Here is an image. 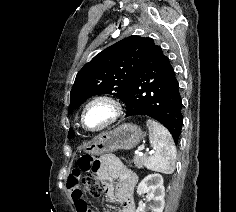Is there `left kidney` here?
Segmentation results:
<instances>
[{
    "label": "left kidney",
    "instance_id": "left-kidney-1",
    "mask_svg": "<svg viewBox=\"0 0 236 212\" xmlns=\"http://www.w3.org/2000/svg\"><path fill=\"white\" fill-rule=\"evenodd\" d=\"M147 193L149 200H152L150 205L152 212H163L165 201V188L163 186V177L160 174H150L146 176L137 187V194L141 196ZM136 212H145V205L139 201Z\"/></svg>",
    "mask_w": 236,
    "mask_h": 212
}]
</instances>
